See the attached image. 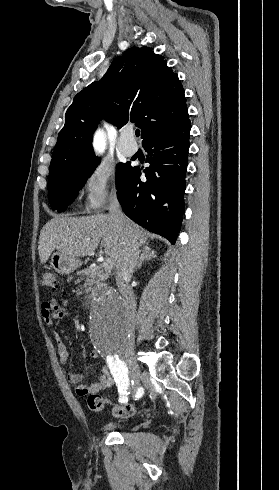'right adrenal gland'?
I'll list each match as a JSON object with an SVG mask.
<instances>
[{
  "label": "right adrenal gland",
  "mask_w": 279,
  "mask_h": 490,
  "mask_svg": "<svg viewBox=\"0 0 279 490\" xmlns=\"http://www.w3.org/2000/svg\"><path fill=\"white\" fill-rule=\"evenodd\" d=\"M141 252V258L136 268H134V272H136V270H140L141 266H143V262H146V260H152V258H156V252H154V250H151V248H148V246H143Z\"/></svg>",
  "instance_id": "right-adrenal-gland-1"
}]
</instances>
